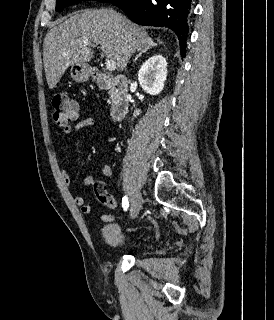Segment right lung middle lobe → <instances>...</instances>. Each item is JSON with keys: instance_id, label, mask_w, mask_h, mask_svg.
Listing matches in <instances>:
<instances>
[{"instance_id": "1", "label": "right lung middle lobe", "mask_w": 274, "mask_h": 320, "mask_svg": "<svg viewBox=\"0 0 274 320\" xmlns=\"http://www.w3.org/2000/svg\"><path fill=\"white\" fill-rule=\"evenodd\" d=\"M82 0H56V11L59 12L62 9H64L65 7L72 5V4H76L79 3ZM98 2H102V3H108L111 0H96Z\"/></svg>"}]
</instances>
